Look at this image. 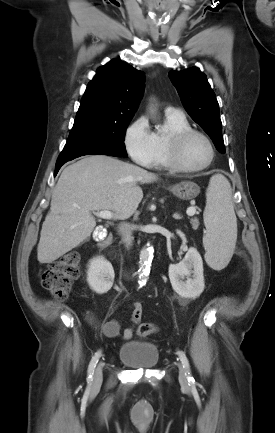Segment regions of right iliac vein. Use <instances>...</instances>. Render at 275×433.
I'll return each mask as SVG.
<instances>
[{
    "label": "right iliac vein",
    "mask_w": 275,
    "mask_h": 433,
    "mask_svg": "<svg viewBox=\"0 0 275 433\" xmlns=\"http://www.w3.org/2000/svg\"><path fill=\"white\" fill-rule=\"evenodd\" d=\"M102 379H103L102 364H99L94 372L92 386L95 388L99 387L102 383Z\"/></svg>",
    "instance_id": "obj_1"
}]
</instances>
